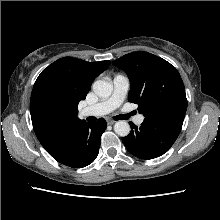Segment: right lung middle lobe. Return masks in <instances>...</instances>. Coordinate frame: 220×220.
<instances>
[{
	"label": "right lung middle lobe",
	"mask_w": 220,
	"mask_h": 220,
	"mask_svg": "<svg viewBox=\"0 0 220 220\" xmlns=\"http://www.w3.org/2000/svg\"><path fill=\"white\" fill-rule=\"evenodd\" d=\"M30 112L37 120L56 124L61 122L67 115V109L59 95L52 88L39 91L30 101Z\"/></svg>",
	"instance_id": "dd1d6c3e"
}]
</instances>
